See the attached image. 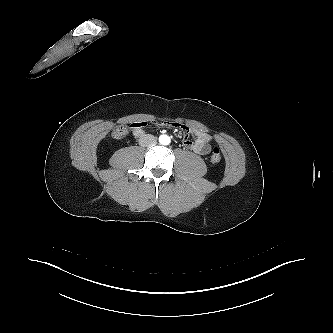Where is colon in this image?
I'll return each instance as SVG.
<instances>
[{
  "label": "colon",
  "mask_w": 333,
  "mask_h": 333,
  "mask_svg": "<svg viewBox=\"0 0 333 333\" xmlns=\"http://www.w3.org/2000/svg\"><path fill=\"white\" fill-rule=\"evenodd\" d=\"M128 127L125 125H121L117 127L114 132H113V137L115 139H121L124 138L125 136L128 135ZM221 161V154L220 151L217 147H214L212 150V155H211V162L213 164H217Z\"/></svg>",
  "instance_id": "obj_1"
}]
</instances>
